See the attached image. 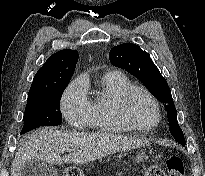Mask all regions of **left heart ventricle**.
Returning <instances> with one entry per match:
<instances>
[{"mask_svg":"<svg viewBox=\"0 0 205 176\" xmlns=\"http://www.w3.org/2000/svg\"><path fill=\"white\" fill-rule=\"evenodd\" d=\"M128 113L131 120L140 125H151L156 118L152 103L142 93L132 96L128 103Z\"/></svg>","mask_w":205,"mask_h":176,"instance_id":"obj_1","label":"left heart ventricle"}]
</instances>
